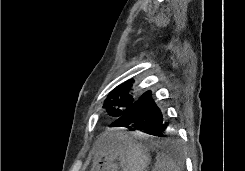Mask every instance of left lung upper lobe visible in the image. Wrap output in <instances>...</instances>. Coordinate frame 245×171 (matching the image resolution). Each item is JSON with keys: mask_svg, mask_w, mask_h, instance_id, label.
<instances>
[{"mask_svg": "<svg viewBox=\"0 0 245 171\" xmlns=\"http://www.w3.org/2000/svg\"><path fill=\"white\" fill-rule=\"evenodd\" d=\"M131 81L134 80H128L126 84L118 86L108 95L103 107L107 108L109 115L120 118L135 103L133 97L128 93Z\"/></svg>", "mask_w": 245, "mask_h": 171, "instance_id": "obj_1", "label": "left lung upper lobe"}]
</instances>
